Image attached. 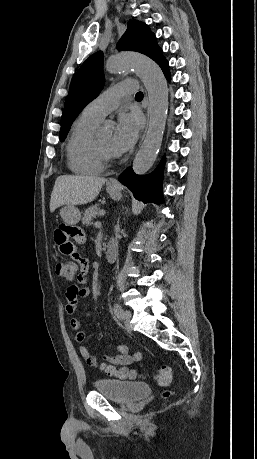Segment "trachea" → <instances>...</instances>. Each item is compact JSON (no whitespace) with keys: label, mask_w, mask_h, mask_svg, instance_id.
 Listing matches in <instances>:
<instances>
[{"label":"trachea","mask_w":257,"mask_h":459,"mask_svg":"<svg viewBox=\"0 0 257 459\" xmlns=\"http://www.w3.org/2000/svg\"><path fill=\"white\" fill-rule=\"evenodd\" d=\"M136 98H143V93L142 92H138L136 95H135Z\"/></svg>","instance_id":"1"}]
</instances>
